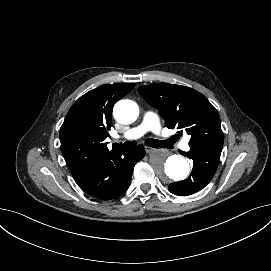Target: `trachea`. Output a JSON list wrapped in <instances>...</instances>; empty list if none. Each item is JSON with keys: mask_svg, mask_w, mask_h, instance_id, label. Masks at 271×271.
Listing matches in <instances>:
<instances>
[{"mask_svg": "<svg viewBox=\"0 0 271 271\" xmlns=\"http://www.w3.org/2000/svg\"><path fill=\"white\" fill-rule=\"evenodd\" d=\"M145 144L153 148H169L171 141L170 140L160 141L157 139L148 138ZM135 146H136V141H126L123 143V147L127 149L133 148Z\"/></svg>", "mask_w": 271, "mask_h": 271, "instance_id": "3493384b", "label": "trachea"}]
</instances>
